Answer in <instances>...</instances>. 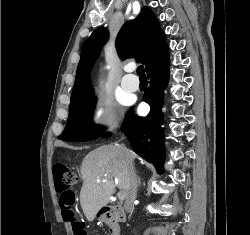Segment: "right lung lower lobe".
I'll use <instances>...</instances> for the list:
<instances>
[{"instance_id":"right-lung-lower-lobe-1","label":"right lung lower lobe","mask_w":250,"mask_h":235,"mask_svg":"<svg viewBox=\"0 0 250 235\" xmlns=\"http://www.w3.org/2000/svg\"><path fill=\"white\" fill-rule=\"evenodd\" d=\"M150 78V86L143 95L151 111L146 117H139L130 113L123 125L133 150L148 162L152 163L158 173L164 172V133L161 128L163 92L169 78L168 46L156 56L146 68ZM103 133V137L110 136Z\"/></svg>"}]
</instances>
